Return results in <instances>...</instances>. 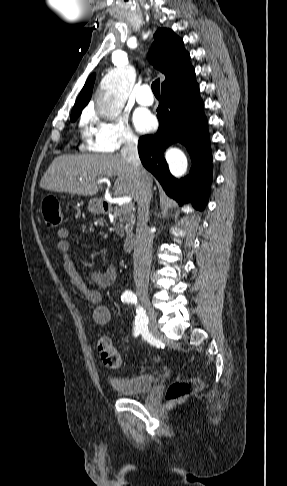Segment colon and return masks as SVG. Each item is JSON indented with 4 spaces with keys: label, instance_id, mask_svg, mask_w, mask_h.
Wrapping results in <instances>:
<instances>
[{
    "label": "colon",
    "instance_id": "colon-1",
    "mask_svg": "<svg viewBox=\"0 0 287 486\" xmlns=\"http://www.w3.org/2000/svg\"><path fill=\"white\" fill-rule=\"evenodd\" d=\"M41 211L45 223L50 227L58 226L62 221V212L58 199L52 195H45L41 199ZM97 350L100 354L103 364L111 369H117L122 365V358L114 347L111 339L106 336H100L97 340ZM159 360V358L157 359ZM199 387L196 381H179L172 383L166 394L170 403H175L193 390Z\"/></svg>",
    "mask_w": 287,
    "mask_h": 486
}]
</instances>
